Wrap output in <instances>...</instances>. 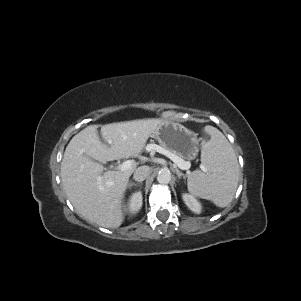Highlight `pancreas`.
Wrapping results in <instances>:
<instances>
[{
  "label": "pancreas",
  "instance_id": "obj_1",
  "mask_svg": "<svg viewBox=\"0 0 301 301\" xmlns=\"http://www.w3.org/2000/svg\"><path fill=\"white\" fill-rule=\"evenodd\" d=\"M163 148V147H162ZM164 150H166L165 148H163ZM166 151H168V150H166ZM169 153H171V154H173V155H176V154H174V153H172V152H170V151H168ZM177 156V155H176ZM179 157V156H178ZM181 158V157H180ZM182 159V158H181Z\"/></svg>",
  "mask_w": 301,
  "mask_h": 301
}]
</instances>
